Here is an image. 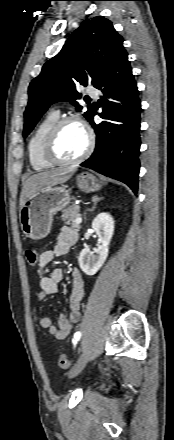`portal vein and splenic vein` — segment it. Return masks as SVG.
Wrapping results in <instances>:
<instances>
[{
	"instance_id": "portal-vein-and-splenic-vein-1",
	"label": "portal vein and splenic vein",
	"mask_w": 174,
	"mask_h": 440,
	"mask_svg": "<svg viewBox=\"0 0 174 440\" xmlns=\"http://www.w3.org/2000/svg\"><path fill=\"white\" fill-rule=\"evenodd\" d=\"M82 223V218L81 217H77L76 218V224L79 225Z\"/></svg>"
}]
</instances>
